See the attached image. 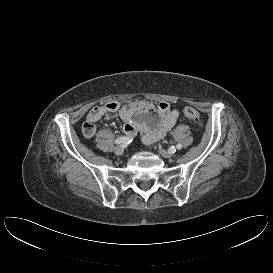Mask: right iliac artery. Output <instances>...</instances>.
Wrapping results in <instances>:
<instances>
[{
	"label": "right iliac artery",
	"mask_w": 273,
	"mask_h": 273,
	"mask_svg": "<svg viewBox=\"0 0 273 273\" xmlns=\"http://www.w3.org/2000/svg\"><path fill=\"white\" fill-rule=\"evenodd\" d=\"M132 141V138L131 137H118L116 140H115V143L116 144H123V145H128L130 142Z\"/></svg>",
	"instance_id": "82829eb1"
}]
</instances>
